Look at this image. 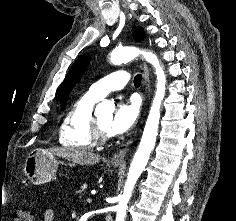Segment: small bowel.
I'll use <instances>...</instances> for the list:
<instances>
[{"mask_svg": "<svg viewBox=\"0 0 236 221\" xmlns=\"http://www.w3.org/2000/svg\"><path fill=\"white\" fill-rule=\"evenodd\" d=\"M42 221H56L55 211L53 209L45 210Z\"/></svg>", "mask_w": 236, "mask_h": 221, "instance_id": "small-bowel-1", "label": "small bowel"}]
</instances>
